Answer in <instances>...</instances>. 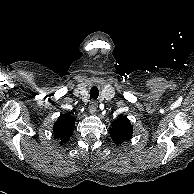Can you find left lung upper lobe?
<instances>
[{
    "label": "left lung upper lobe",
    "instance_id": "1",
    "mask_svg": "<svg viewBox=\"0 0 194 194\" xmlns=\"http://www.w3.org/2000/svg\"><path fill=\"white\" fill-rule=\"evenodd\" d=\"M132 133V125L127 117H120L112 123L110 135L114 143L117 145H120L124 141L131 139Z\"/></svg>",
    "mask_w": 194,
    "mask_h": 194
}]
</instances>
